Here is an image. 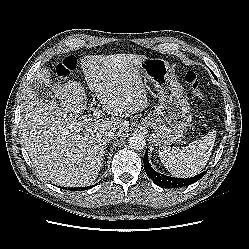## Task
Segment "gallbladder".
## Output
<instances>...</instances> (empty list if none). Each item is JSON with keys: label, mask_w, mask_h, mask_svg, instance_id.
Masks as SVG:
<instances>
[{"label": "gallbladder", "mask_w": 249, "mask_h": 249, "mask_svg": "<svg viewBox=\"0 0 249 249\" xmlns=\"http://www.w3.org/2000/svg\"><path fill=\"white\" fill-rule=\"evenodd\" d=\"M30 87L34 95L37 96L39 99L49 103L53 102L59 105V103L55 101L54 95L52 94L51 90H49L46 86L39 83H33Z\"/></svg>", "instance_id": "obj_1"}]
</instances>
